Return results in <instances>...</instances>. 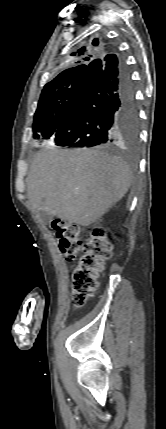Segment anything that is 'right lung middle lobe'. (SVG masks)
<instances>
[{
  "label": "right lung middle lobe",
  "mask_w": 166,
  "mask_h": 429,
  "mask_svg": "<svg viewBox=\"0 0 166 429\" xmlns=\"http://www.w3.org/2000/svg\"><path fill=\"white\" fill-rule=\"evenodd\" d=\"M83 75H75L52 85L41 93L34 115V138L51 137L60 126L65 111L81 83ZM138 125L132 128L119 129L115 138L124 140L129 145H136Z\"/></svg>",
  "instance_id": "obj_1"
}]
</instances>
